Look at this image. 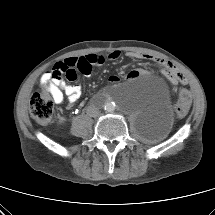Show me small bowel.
<instances>
[{"label": "small bowel", "mask_w": 215, "mask_h": 215, "mask_svg": "<svg viewBox=\"0 0 215 215\" xmlns=\"http://www.w3.org/2000/svg\"><path fill=\"white\" fill-rule=\"evenodd\" d=\"M127 56L132 59H151L157 61L163 65H167V63L159 58H155L149 55H144L136 52H129ZM121 57L120 51H112L108 54L107 58L111 61H116ZM105 62V57L98 54H88L82 57H71L67 58L64 61L56 64L50 71L46 72L41 78V84L44 85L47 81H51L50 90L54 95L55 101L59 104L63 103L64 96L68 98L69 107H71L75 102H77L82 93L81 86L79 84H67L62 77L53 78V73L56 70H60V66L62 67H74L78 70V67L84 63L88 66L89 70L87 72H80L84 75H89L94 66H100ZM143 70H133L129 73L128 77L131 79L137 78L140 75H143ZM77 79V75L73 79H69L70 81H74ZM119 81V77L116 75L109 76L110 83H117Z\"/></svg>", "instance_id": "1"}]
</instances>
